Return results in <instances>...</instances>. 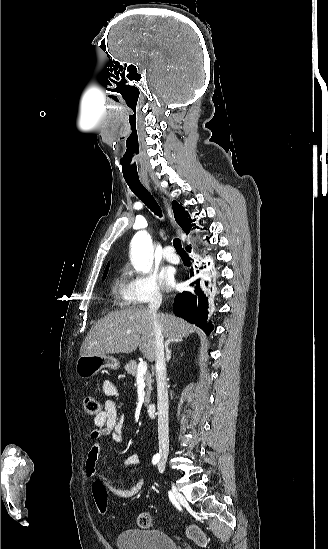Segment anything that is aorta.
Here are the masks:
<instances>
[{
    "label": "aorta",
    "instance_id": "762f6f07",
    "mask_svg": "<svg viewBox=\"0 0 328 549\" xmlns=\"http://www.w3.org/2000/svg\"><path fill=\"white\" fill-rule=\"evenodd\" d=\"M132 262L135 268L141 272H148L151 268L152 246L147 232L139 231L135 234L131 243Z\"/></svg>",
    "mask_w": 328,
    "mask_h": 549
}]
</instances>
